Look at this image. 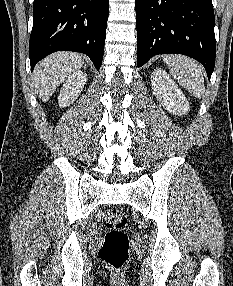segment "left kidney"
Wrapping results in <instances>:
<instances>
[{"mask_svg": "<svg viewBox=\"0 0 233 286\" xmlns=\"http://www.w3.org/2000/svg\"><path fill=\"white\" fill-rule=\"evenodd\" d=\"M153 94L158 102L170 113L185 115L189 112V103L178 85L162 69L157 68L151 74Z\"/></svg>", "mask_w": 233, "mask_h": 286, "instance_id": "left-kidney-1", "label": "left kidney"}]
</instances>
